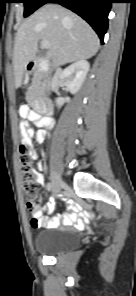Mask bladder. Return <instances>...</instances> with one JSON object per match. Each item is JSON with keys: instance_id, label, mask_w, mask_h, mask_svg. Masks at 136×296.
Returning a JSON list of instances; mask_svg holds the SVG:
<instances>
[{"instance_id": "bladder-1", "label": "bladder", "mask_w": 136, "mask_h": 296, "mask_svg": "<svg viewBox=\"0 0 136 296\" xmlns=\"http://www.w3.org/2000/svg\"><path fill=\"white\" fill-rule=\"evenodd\" d=\"M78 242V235L74 231L56 228L36 234L34 248L40 254L57 255L72 249Z\"/></svg>"}]
</instances>
